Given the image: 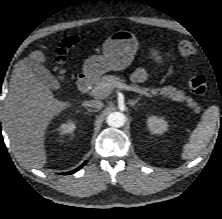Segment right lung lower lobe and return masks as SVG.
Segmentation results:
<instances>
[{"instance_id":"1","label":"right lung lower lobe","mask_w":222,"mask_h":219,"mask_svg":"<svg viewBox=\"0 0 222 219\" xmlns=\"http://www.w3.org/2000/svg\"><path fill=\"white\" fill-rule=\"evenodd\" d=\"M85 163H86V161L81 166H79L78 168H76V169H74L70 172L64 173V174H70V173H74V172L78 171L79 169H81L84 166Z\"/></svg>"}]
</instances>
